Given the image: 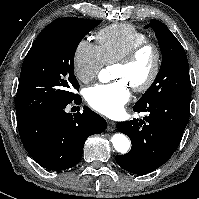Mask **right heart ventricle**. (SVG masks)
<instances>
[{
	"instance_id": "obj_1",
	"label": "right heart ventricle",
	"mask_w": 199,
	"mask_h": 199,
	"mask_svg": "<svg viewBox=\"0 0 199 199\" xmlns=\"http://www.w3.org/2000/svg\"><path fill=\"white\" fill-rule=\"evenodd\" d=\"M105 64H112L133 46L147 41V35L128 23L112 24L96 34Z\"/></svg>"
}]
</instances>
